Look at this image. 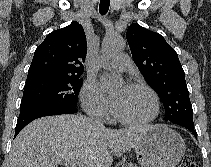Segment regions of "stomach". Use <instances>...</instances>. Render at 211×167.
Instances as JSON below:
<instances>
[{"label":"stomach","mask_w":211,"mask_h":167,"mask_svg":"<svg viewBox=\"0 0 211 167\" xmlns=\"http://www.w3.org/2000/svg\"><path fill=\"white\" fill-rule=\"evenodd\" d=\"M186 145L182 137L166 126H153L136 145L141 167H175L183 158Z\"/></svg>","instance_id":"1"}]
</instances>
